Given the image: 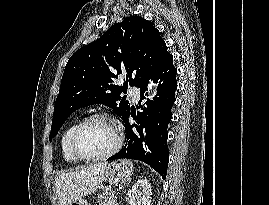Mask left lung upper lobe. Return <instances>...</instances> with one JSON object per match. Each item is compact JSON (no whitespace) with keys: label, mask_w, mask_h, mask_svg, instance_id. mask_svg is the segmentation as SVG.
I'll return each instance as SVG.
<instances>
[{"label":"left lung upper lobe","mask_w":269,"mask_h":205,"mask_svg":"<svg viewBox=\"0 0 269 205\" xmlns=\"http://www.w3.org/2000/svg\"><path fill=\"white\" fill-rule=\"evenodd\" d=\"M170 53L158 29L139 16L126 17L98 40L77 50L67 62L54 108L50 141L67 117L90 104H105L122 119L130 104L121 97L131 86L141 88L152 79ZM126 75L117 86L118 75Z\"/></svg>","instance_id":"left-lung-upper-lobe-1"}]
</instances>
